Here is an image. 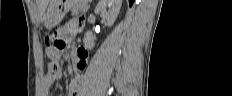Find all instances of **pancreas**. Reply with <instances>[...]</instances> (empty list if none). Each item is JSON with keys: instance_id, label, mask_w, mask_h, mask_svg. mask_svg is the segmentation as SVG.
Instances as JSON below:
<instances>
[{"instance_id": "pancreas-1", "label": "pancreas", "mask_w": 232, "mask_h": 96, "mask_svg": "<svg viewBox=\"0 0 232 96\" xmlns=\"http://www.w3.org/2000/svg\"><path fill=\"white\" fill-rule=\"evenodd\" d=\"M87 9H88V6L85 4V2H81L72 7V14L77 15L79 12H86Z\"/></svg>"}]
</instances>
